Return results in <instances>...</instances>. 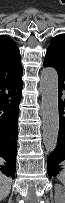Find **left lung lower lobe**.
Here are the masks:
<instances>
[{
  "label": "left lung lower lobe",
  "instance_id": "0a47b994",
  "mask_svg": "<svg viewBox=\"0 0 65 203\" xmlns=\"http://www.w3.org/2000/svg\"><path fill=\"white\" fill-rule=\"evenodd\" d=\"M44 66L54 67L58 72L59 134L57 147L47 159L49 178L65 172V58L57 51L47 49ZM61 97H64L61 99Z\"/></svg>",
  "mask_w": 65,
  "mask_h": 203
}]
</instances>
